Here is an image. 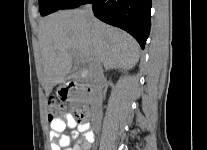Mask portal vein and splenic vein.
<instances>
[{
  "label": "portal vein and splenic vein",
  "mask_w": 207,
  "mask_h": 150,
  "mask_svg": "<svg viewBox=\"0 0 207 150\" xmlns=\"http://www.w3.org/2000/svg\"><path fill=\"white\" fill-rule=\"evenodd\" d=\"M77 58V61L79 62V63H82L83 61H82V59L80 58V57H76Z\"/></svg>",
  "instance_id": "18ae733b"
}]
</instances>
